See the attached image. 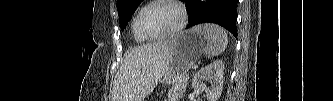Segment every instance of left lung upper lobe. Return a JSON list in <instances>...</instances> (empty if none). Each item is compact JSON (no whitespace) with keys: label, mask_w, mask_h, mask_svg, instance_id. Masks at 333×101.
Listing matches in <instances>:
<instances>
[{"label":"left lung upper lobe","mask_w":333,"mask_h":101,"mask_svg":"<svg viewBox=\"0 0 333 101\" xmlns=\"http://www.w3.org/2000/svg\"><path fill=\"white\" fill-rule=\"evenodd\" d=\"M142 0H117V10L119 15V23L122 29L131 19L137 6Z\"/></svg>","instance_id":"5c2ea615"}]
</instances>
